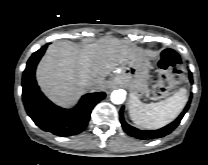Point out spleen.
<instances>
[{"label": "spleen", "mask_w": 208, "mask_h": 165, "mask_svg": "<svg viewBox=\"0 0 208 165\" xmlns=\"http://www.w3.org/2000/svg\"><path fill=\"white\" fill-rule=\"evenodd\" d=\"M186 102L185 88L163 101L150 104L142 103L136 96L130 95L129 116L138 127L159 129L172 122L183 110Z\"/></svg>", "instance_id": "spleen-1"}]
</instances>
